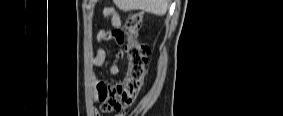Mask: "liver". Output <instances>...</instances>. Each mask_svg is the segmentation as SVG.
<instances>
[{"mask_svg": "<svg viewBox=\"0 0 283 116\" xmlns=\"http://www.w3.org/2000/svg\"><path fill=\"white\" fill-rule=\"evenodd\" d=\"M115 5L122 11L143 10L155 15H164L170 0H114Z\"/></svg>", "mask_w": 283, "mask_h": 116, "instance_id": "6515ba94", "label": "liver"}]
</instances>
